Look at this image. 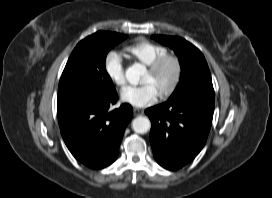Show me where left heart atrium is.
Wrapping results in <instances>:
<instances>
[{
	"instance_id": "left-heart-atrium-1",
	"label": "left heart atrium",
	"mask_w": 272,
	"mask_h": 198,
	"mask_svg": "<svg viewBox=\"0 0 272 198\" xmlns=\"http://www.w3.org/2000/svg\"><path fill=\"white\" fill-rule=\"evenodd\" d=\"M159 94L151 83L140 86H128L121 91L120 97L124 103L136 107H144L153 104Z\"/></svg>"
}]
</instances>
